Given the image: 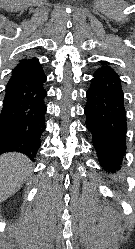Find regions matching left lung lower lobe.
I'll return each mask as SVG.
<instances>
[{"instance_id":"0a47b994","label":"left lung lower lobe","mask_w":135,"mask_h":249,"mask_svg":"<svg viewBox=\"0 0 135 249\" xmlns=\"http://www.w3.org/2000/svg\"><path fill=\"white\" fill-rule=\"evenodd\" d=\"M86 127L100 166L116 169L126 153L127 118L119 75L102 65L93 74L87 90Z\"/></svg>"}]
</instances>
